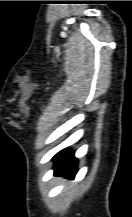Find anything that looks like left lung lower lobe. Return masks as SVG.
Returning <instances> with one entry per match:
<instances>
[{
	"label": "left lung lower lobe",
	"instance_id": "1",
	"mask_svg": "<svg viewBox=\"0 0 132 217\" xmlns=\"http://www.w3.org/2000/svg\"><path fill=\"white\" fill-rule=\"evenodd\" d=\"M55 175H63L67 178L73 179L77 173V159L74 154L68 152V149H64L57 153L54 158Z\"/></svg>",
	"mask_w": 132,
	"mask_h": 217
}]
</instances>
